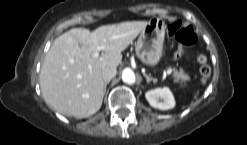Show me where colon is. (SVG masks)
I'll return each instance as SVG.
<instances>
[{"mask_svg": "<svg viewBox=\"0 0 247 145\" xmlns=\"http://www.w3.org/2000/svg\"><path fill=\"white\" fill-rule=\"evenodd\" d=\"M168 35L174 38L179 44L184 46H192L197 42V36L194 29L190 26L184 27L180 20H175L168 25ZM200 64V76L202 82H206L211 75V68L207 63V57L204 54L197 56Z\"/></svg>", "mask_w": 247, "mask_h": 145, "instance_id": "obj_1", "label": "colon"}]
</instances>
